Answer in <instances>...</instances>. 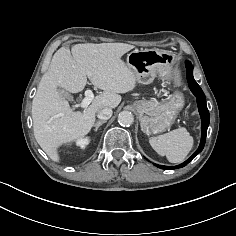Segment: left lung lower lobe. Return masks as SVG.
Instances as JSON below:
<instances>
[{"instance_id": "0a47b994", "label": "left lung lower lobe", "mask_w": 236, "mask_h": 236, "mask_svg": "<svg viewBox=\"0 0 236 236\" xmlns=\"http://www.w3.org/2000/svg\"><path fill=\"white\" fill-rule=\"evenodd\" d=\"M185 66L187 69V81L189 84V88L197 98L198 109H199V113L201 115V120H202L201 142H200L198 149L193 153V155L190 158H188L185 162H183L182 164H179L177 166H162V165L154 164L155 166H157L161 169L172 170V169L182 168V167L186 166L197 154H199L203 150L204 145H205V141H206L207 128H208V125L210 122L209 111H208V108L206 105V98H205V95H204L202 89L200 88V86L197 84V82L193 78L192 64L189 61H186Z\"/></svg>"}]
</instances>
